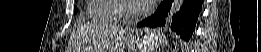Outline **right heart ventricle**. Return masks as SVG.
<instances>
[{"label": "right heart ventricle", "instance_id": "1", "mask_svg": "<svg viewBox=\"0 0 261 52\" xmlns=\"http://www.w3.org/2000/svg\"><path fill=\"white\" fill-rule=\"evenodd\" d=\"M117 4L116 0H91L87 17L93 23L119 24L122 18L116 15Z\"/></svg>", "mask_w": 261, "mask_h": 52}]
</instances>
